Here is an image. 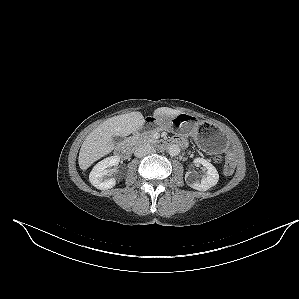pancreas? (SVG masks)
Listing matches in <instances>:
<instances>
[{"label": "pancreas", "mask_w": 299, "mask_h": 299, "mask_svg": "<svg viewBox=\"0 0 299 299\" xmlns=\"http://www.w3.org/2000/svg\"><path fill=\"white\" fill-rule=\"evenodd\" d=\"M155 131H150L147 133H143V134H134L132 137H130L128 139V141L132 144V145H141V144H152L155 143L156 140L153 139V133Z\"/></svg>", "instance_id": "cf45deb5"}]
</instances>
